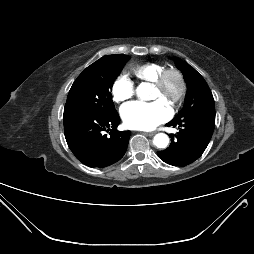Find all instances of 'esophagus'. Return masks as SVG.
Instances as JSON below:
<instances>
[{
	"instance_id": "34e87169",
	"label": "esophagus",
	"mask_w": 254,
	"mask_h": 254,
	"mask_svg": "<svg viewBox=\"0 0 254 254\" xmlns=\"http://www.w3.org/2000/svg\"><path fill=\"white\" fill-rule=\"evenodd\" d=\"M155 133H156V132H147V133H144V134L151 137V136H153Z\"/></svg>"
}]
</instances>
